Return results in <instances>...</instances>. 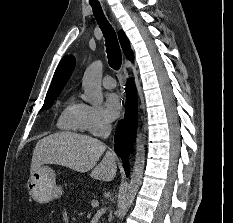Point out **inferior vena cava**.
Wrapping results in <instances>:
<instances>
[{"label":"inferior vena cava","mask_w":233,"mask_h":223,"mask_svg":"<svg viewBox=\"0 0 233 223\" xmlns=\"http://www.w3.org/2000/svg\"><path fill=\"white\" fill-rule=\"evenodd\" d=\"M111 121H109V119H106V117H103V119H101V123H100V137H103V139H106V137H109L110 133H111Z\"/></svg>","instance_id":"obj_1"}]
</instances>
